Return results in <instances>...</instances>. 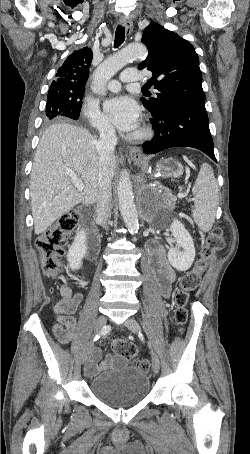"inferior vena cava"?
<instances>
[{"instance_id":"602c4592","label":"inferior vena cava","mask_w":250,"mask_h":454,"mask_svg":"<svg viewBox=\"0 0 250 454\" xmlns=\"http://www.w3.org/2000/svg\"><path fill=\"white\" fill-rule=\"evenodd\" d=\"M117 144V136L113 127L105 125L100 129L99 150V194L97 200V220L102 227L108 229L111 218L112 191L110 165Z\"/></svg>"}]
</instances>
